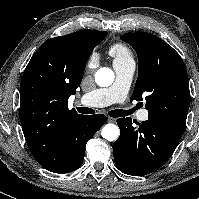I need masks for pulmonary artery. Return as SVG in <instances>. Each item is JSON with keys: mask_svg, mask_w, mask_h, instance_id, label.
I'll use <instances>...</instances> for the list:
<instances>
[{"mask_svg": "<svg viewBox=\"0 0 199 199\" xmlns=\"http://www.w3.org/2000/svg\"><path fill=\"white\" fill-rule=\"evenodd\" d=\"M113 67L116 73L114 83L110 87L83 94L80 99L82 104L108 106L125 100L135 72V63L133 60L116 61ZM137 116L139 120L146 121L149 114L146 109H143L138 112Z\"/></svg>", "mask_w": 199, "mask_h": 199, "instance_id": "1", "label": "pulmonary artery"}]
</instances>
